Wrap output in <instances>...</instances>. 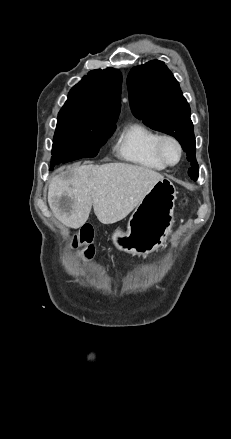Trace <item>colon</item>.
I'll use <instances>...</instances> for the list:
<instances>
[{"label": "colon", "instance_id": "1", "mask_svg": "<svg viewBox=\"0 0 231 439\" xmlns=\"http://www.w3.org/2000/svg\"><path fill=\"white\" fill-rule=\"evenodd\" d=\"M93 237L94 231L91 226H83L75 236L74 245L80 248V256L85 260L94 256Z\"/></svg>", "mask_w": 231, "mask_h": 439}]
</instances>
